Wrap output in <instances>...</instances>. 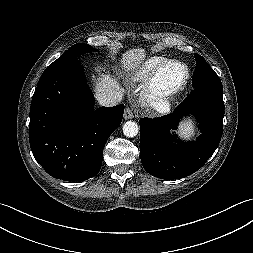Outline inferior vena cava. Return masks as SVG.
Returning a JSON list of instances; mask_svg holds the SVG:
<instances>
[{
    "instance_id": "obj_1",
    "label": "inferior vena cava",
    "mask_w": 253,
    "mask_h": 253,
    "mask_svg": "<svg viewBox=\"0 0 253 253\" xmlns=\"http://www.w3.org/2000/svg\"><path fill=\"white\" fill-rule=\"evenodd\" d=\"M123 97L121 91H110L97 94V100L100 105L106 107L116 106Z\"/></svg>"
}]
</instances>
